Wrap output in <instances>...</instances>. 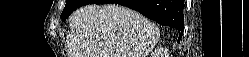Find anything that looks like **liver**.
Masks as SVG:
<instances>
[{"mask_svg": "<svg viewBox=\"0 0 249 57\" xmlns=\"http://www.w3.org/2000/svg\"><path fill=\"white\" fill-rule=\"evenodd\" d=\"M71 57H147L157 44L155 23L117 4H89L69 19Z\"/></svg>", "mask_w": 249, "mask_h": 57, "instance_id": "obj_1", "label": "liver"}]
</instances>
